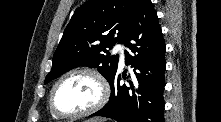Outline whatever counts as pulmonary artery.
I'll list each match as a JSON object with an SVG mask.
<instances>
[{
    "mask_svg": "<svg viewBox=\"0 0 221 122\" xmlns=\"http://www.w3.org/2000/svg\"><path fill=\"white\" fill-rule=\"evenodd\" d=\"M114 50L120 55V62L123 64L125 62V47L121 44L115 46Z\"/></svg>",
    "mask_w": 221,
    "mask_h": 122,
    "instance_id": "1",
    "label": "pulmonary artery"
}]
</instances>
